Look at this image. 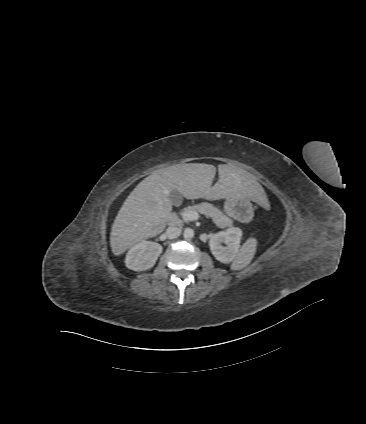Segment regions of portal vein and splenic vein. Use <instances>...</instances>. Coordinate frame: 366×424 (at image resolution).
Masks as SVG:
<instances>
[{"instance_id": "18ae733b", "label": "portal vein and splenic vein", "mask_w": 366, "mask_h": 424, "mask_svg": "<svg viewBox=\"0 0 366 424\" xmlns=\"http://www.w3.org/2000/svg\"><path fill=\"white\" fill-rule=\"evenodd\" d=\"M181 215L185 221H196L200 218L198 212L190 210H184Z\"/></svg>"}]
</instances>
